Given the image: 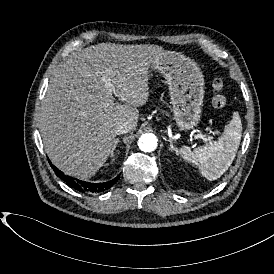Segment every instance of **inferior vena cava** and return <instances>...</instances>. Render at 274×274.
Listing matches in <instances>:
<instances>
[{"instance_id":"602c4592","label":"inferior vena cava","mask_w":274,"mask_h":274,"mask_svg":"<svg viewBox=\"0 0 274 274\" xmlns=\"http://www.w3.org/2000/svg\"><path fill=\"white\" fill-rule=\"evenodd\" d=\"M135 129V125H133L130 121H120L115 125V134L120 135L124 133L131 132Z\"/></svg>"}]
</instances>
